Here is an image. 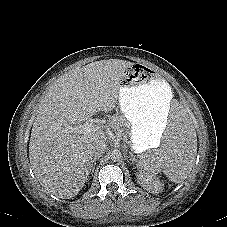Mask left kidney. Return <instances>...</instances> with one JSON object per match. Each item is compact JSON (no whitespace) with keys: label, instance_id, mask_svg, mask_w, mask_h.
Returning <instances> with one entry per match:
<instances>
[{"label":"left kidney","instance_id":"5707ae66","mask_svg":"<svg viewBox=\"0 0 227 227\" xmlns=\"http://www.w3.org/2000/svg\"><path fill=\"white\" fill-rule=\"evenodd\" d=\"M139 184L148 192L153 194L159 193L163 190L162 182L156 178L154 175H146L140 172L137 175Z\"/></svg>","mask_w":227,"mask_h":227}]
</instances>
